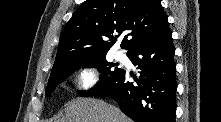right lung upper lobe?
Returning a JSON list of instances; mask_svg holds the SVG:
<instances>
[{
    "label": "right lung upper lobe",
    "mask_w": 221,
    "mask_h": 122,
    "mask_svg": "<svg viewBox=\"0 0 221 122\" xmlns=\"http://www.w3.org/2000/svg\"><path fill=\"white\" fill-rule=\"evenodd\" d=\"M166 22L160 0H86L61 32L51 75L106 56L122 33L121 47L131 51Z\"/></svg>",
    "instance_id": "cb5924a9"
}]
</instances>
